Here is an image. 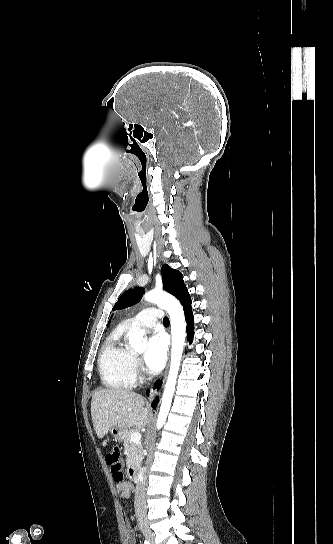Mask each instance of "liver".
Returning a JSON list of instances; mask_svg holds the SVG:
<instances>
[{"label": "liver", "mask_w": 333, "mask_h": 544, "mask_svg": "<svg viewBox=\"0 0 333 544\" xmlns=\"http://www.w3.org/2000/svg\"><path fill=\"white\" fill-rule=\"evenodd\" d=\"M91 416L98 438H103L111 427L128 429L145 427L151 414L144 407V398L123 389H101L92 395ZM107 441L102 445L106 446Z\"/></svg>", "instance_id": "obj_1"}]
</instances>
